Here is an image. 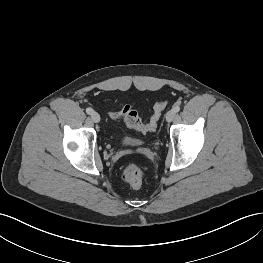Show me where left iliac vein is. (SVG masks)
<instances>
[{"mask_svg":"<svg viewBox=\"0 0 263 263\" xmlns=\"http://www.w3.org/2000/svg\"><path fill=\"white\" fill-rule=\"evenodd\" d=\"M176 116V112L172 109L166 113V121L171 122Z\"/></svg>","mask_w":263,"mask_h":263,"instance_id":"4c4485c4","label":"left iliac vein"}]
</instances>
